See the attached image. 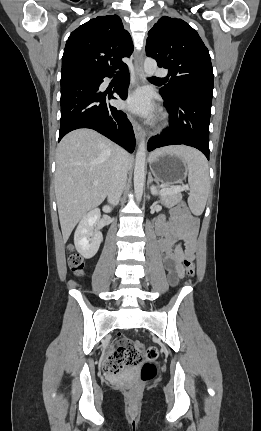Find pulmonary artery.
Listing matches in <instances>:
<instances>
[{
	"label": "pulmonary artery",
	"instance_id": "1",
	"mask_svg": "<svg viewBox=\"0 0 261 431\" xmlns=\"http://www.w3.org/2000/svg\"><path fill=\"white\" fill-rule=\"evenodd\" d=\"M155 75L159 78H167L168 77V72L166 69L163 68H159L155 71Z\"/></svg>",
	"mask_w": 261,
	"mask_h": 431
}]
</instances>
